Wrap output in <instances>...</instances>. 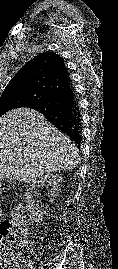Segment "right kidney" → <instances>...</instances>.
<instances>
[{"instance_id": "right-kidney-1", "label": "right kidney", "mask_w": 118, "mask_h": 269, "mask_svg": "<svg viewBox=\"0 0 118 269\" xmlns=\"http://www.w3.org/2000/svg\"><path fill=\"white\" fill-rule=\"evenodd\" d=\"M62 181L63 180L60 175L48 173L39 177L38 180L33 181V183L27 188L25 194L26 210L32 221L39 223L42 220L43 214L45 213L44 210L36 206V190L47 184V186L50 188V196L55 197L58 194Z\"/></svg>"}]
</instances>
